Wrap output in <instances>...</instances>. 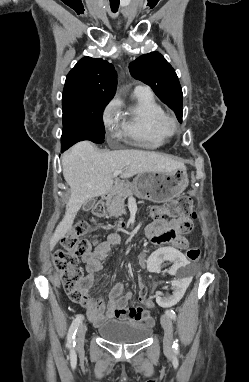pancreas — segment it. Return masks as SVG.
Instances as JSON below:
<instances>
[{
	"instance_id": "1",
	"label": "pancreas",
	"mask_w": 249,
	"mask_h": 382,
	"mask_svg": "<svg viewBox=\"0 0 249 382\" xmlns=\"http://www.w3.org/2000/svg\"><path fill=\"white\" fill-rule=\"evenodd\" d=\"M129 195H132V189L130 185H126L119 187L115 194L108 198L106 206L110 216L119 217L126 214L124 201Z\"/></svg>"
}]
</instances>
